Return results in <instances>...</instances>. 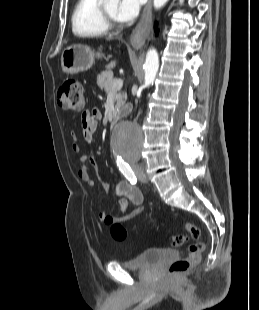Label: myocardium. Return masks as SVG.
<instances>
[{
  "label": "myocardium",
  "instance_id": "1",
  "mask_svg": "<svg viewBox=\"0 0 259 310\" xmlns=\"http://www.w3.org/2000/svg\"><path fill=\"white\" fill-rule=\"evenodd\" d=\"M99 17L104 26L109 29L117 26V20L112 18L104 8V4L100 3L98 7Z\"/></svg>",
  "mask_w": 259,
  "mask_h": 310
}]
</instances>
